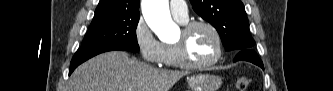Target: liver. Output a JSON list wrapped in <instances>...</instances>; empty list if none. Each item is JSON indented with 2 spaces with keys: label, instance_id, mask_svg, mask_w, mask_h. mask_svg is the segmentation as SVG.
<instances>
[{
  "label": "liver",
  "instance_id": "obj_1",
  "mask_svg": "<svg viewBox=\"0 0 333 91\" xmlns=\"http://www.w3.org/2000/svg\"><path fill=\"white\" fill-rule=\"evenodd\" d=\"M185 72L158 69L126 52L100 54L71 75L69 91H169Z\"/></svg>",
  "mask_w": 333,
  "mask_h": 91
}]
</instances>
